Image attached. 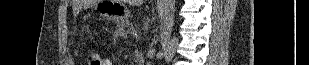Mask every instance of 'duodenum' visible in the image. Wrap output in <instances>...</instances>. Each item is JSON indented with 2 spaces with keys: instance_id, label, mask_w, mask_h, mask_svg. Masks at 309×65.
Returning a JSON list of instances; mask_svg holds the SVG:
<instances>
[{
  "instance_id": "obj_1",
  "label": "duodenum",
  "mask_w": 309,
  "mask_h": 65,
  "mask_svg": "<svg viewBox=\"0 0 309 65\" xmlns=\"http://www.w3.org/2000/svg\"><path fill=\"white\" fill-rule=\"evenodd\" d=\"M136 59L139 65H144L145 60H144V56L141 52H136Z\"/></svg>"
}]
</instances>
